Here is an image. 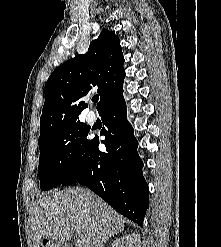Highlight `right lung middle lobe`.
Instances as JSON below:
<instances>
[{
  "mask_svg": "<svg viewBox=\"0 0 221 247\" xmlns=\"http://www.w3.org/2000/svg\"><path fill=\"white\" fill-rule=\"evenodd\" d=\"M89 128L77 121L39 137V179L41 190L60 185L88 149Z\"/></svg>",
  "mask_w": 221,
  "mask_h": 247,
  "instance_id": "1",
  "label": "right lung middle lobe"
}]
</instances>
